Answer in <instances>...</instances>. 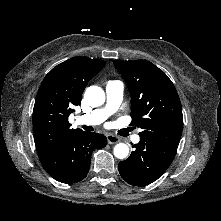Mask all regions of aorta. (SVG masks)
Segmentation results:
<instances>
[{
	"label": "aorta",
	"mask_w": 221,
	"mask_h": 221,
	"mask_svg": "<svg viewBox=\"0 0 221 221\" xmlns=\"http://www.w3.org/2000/svg\"><path fill=\"white\" fill-rule=\"evenodd\" d=\"M84 99L90 106L97 107L105 102V93L101 87L90 86L85 91ZM113 151L115 157L124 159L129 154V147L125 143H118Z\"/></svg>",
	"instance_id": "aorta-1"
}]
</instances>
